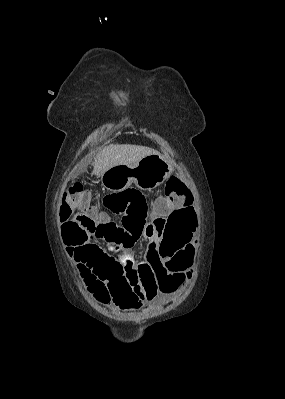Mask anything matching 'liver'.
Masks as SVG:
<instances>
[{
  "mask_svg": "<svg viewBox=\"0 0 285 399\" xmlns=\"http://www.w3.org/2000/svg\"><path fill=\"white\" fill-rule=\"evenodd\" d=\"M158 154L154 149L130 144H115L105 147L97 154L93 162V173L101 176L105 171L117 165H135L147 155Z\"/></svg>",
  "mask_w": 285,
  "mask_h": 399,
  "instance_id": "6515ba94",
  "label": "liver"
}]
</instances>
